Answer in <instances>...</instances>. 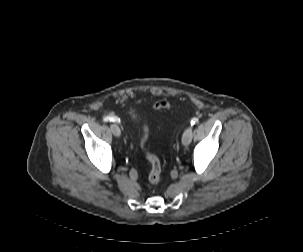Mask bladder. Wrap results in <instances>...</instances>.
<instances>
[{"instance_id":"31cf9c89","label":"bladder","mask_w":303,"mask_h":252,"mask_svg":"<svg viewBox=\"0 0 303 252\" xmlns=\"http://www.w3.org/2000/svg\"><path fill=\"white\" fill-rule=\"evenodd\" d=\"M131 117L132 119H136L137 118V113L134 111L131 113Z\"/></svg>"}]
</instances>
